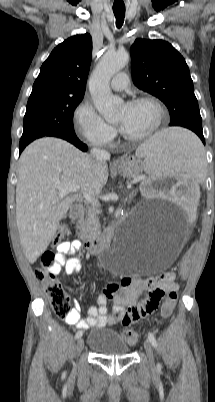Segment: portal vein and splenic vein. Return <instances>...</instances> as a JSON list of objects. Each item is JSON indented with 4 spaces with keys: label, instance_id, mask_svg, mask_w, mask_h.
<instances>
[{
    "label": "portal vein and splenic vein",
    "instance_id": "1",
    "mask_svg": "<svg viewBox=\"0 0 215 402\" xmlns=\"http://www.w3.org/2000/svg\"><path fill=\"white\" fill-rule=\"evenodd\" d=\"M57 188L59 190V195L61 197L65 196L68 193L79 191V186L74 185V184H70V183H68V184H58ZM84 198H85V200L87 202H89L93 206H95V207L99 206L98 201L94 197H92L90 195H85Z\"/></svg>",
    "mask_w": 215,
    "mask_h": 402
}]
</instances>
